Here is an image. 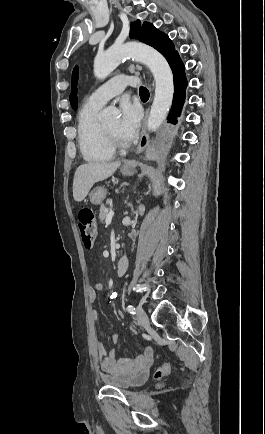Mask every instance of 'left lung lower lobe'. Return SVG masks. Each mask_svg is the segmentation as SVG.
Segmentation results:
<instances>
[{
	"label": "left lung lower lobe",
	"mask_w": 265,
	"mask_h": 434,
	"mask_svg": "<svg viewBox=\"0 0 265 434\" xmlns=\"http://www.w3.org/2000/svg\"><path fill=\"white\" fill-rule=\"evenodd\" d=\"M170 67L173 71L174 77V99L173 106L168 116V122L172 124L177 123V117L181 114V109L185 101V90L187 87V80L185 76V68L179 55H176L170 62Z\"/></svg>",
	"instance_id": "1"
}]
</instances>
